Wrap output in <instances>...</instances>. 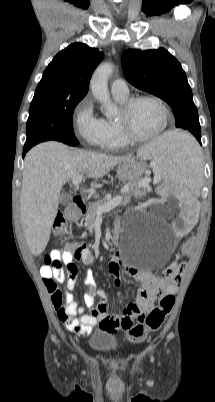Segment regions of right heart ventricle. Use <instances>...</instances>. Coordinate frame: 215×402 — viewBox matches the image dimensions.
<instances>
[{
	"mask_svg": "<svg viewBox=\"0 0 215 402\" xmlns=\"http://www.w3.org/2000/svg\"><path fill=\"white\" fill-rule=\"evenodd\" d=\"M114 98L122 106L129 96L114 95ZM104 121L107 128V137L104 141L103 147L106 149H119L127 146L129 142L121 133L118 118H108Z\"/></svg>",
	"mask_w": 215,
	"mask_h": 402,
	"instance_id": "right-heart-ventricle-1",
	"label": "right heart ventricle"
}]
</instances>
